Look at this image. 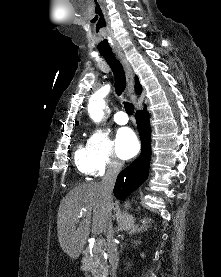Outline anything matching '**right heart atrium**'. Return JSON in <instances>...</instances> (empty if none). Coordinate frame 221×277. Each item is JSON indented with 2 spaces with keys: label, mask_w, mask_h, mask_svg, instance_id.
<instances>
[{
  "label": "right heart atrium",
  "mask_w": 221,
  "mask_h": 277,
  "mask_svg": "<svg viewBox=\"0 0 221 277\" xmlns=\"http://www.w3.org/2000/svg\"><path fill=\"white\" fill-rule=\"evenodd\" d=\"M87 145L92 173L104 174L121 168L122 163L117 158L113 143L107 133L99 129L95 130L91 134Z\"/></svg>",
  "instance_id": "1"
}]
</instances>
